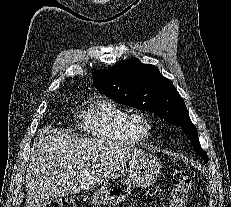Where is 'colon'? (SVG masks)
<instances>
[{
    "label": "colon",
    "mask_w": 231,
    "mask_h": 207,
    "mask_svg": "<svg viewBox=\"0 0 231 207\" xmlns=\"http://www.w3.org/2000/svg\"><path fill=\"white\" fill-rule=\"evenodd\" d=\"M171 182L170 207H183L192 187L191 175L184 170H174L171 173ZM45 207H74V203L68 198H58L46 203Z\"/></svg>",
    "instance_id": "colon-1"
}]
</instances>
